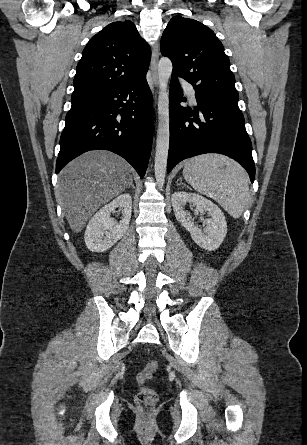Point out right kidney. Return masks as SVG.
Returning <instances> with one entry per match:
<instances>
[{
    "instance_id": "1",
    "label": "right kidney",
    "mask_w": 307,
    "mask_h": 445,
    "mask_svg": "<svg viewBox=\"0 0 307 445\" xmlns=\"http://www.w3.org/2000/svg\"><path fill=\"white\" fill-rule=\"evenodd\" d=\"M119 206L123 216L119 223L114 218H110V212ZM132 208V198L128 192L119 194L109 204H105L100 208L87 225L84 239L87 249L93 253H103L107 249H111L119 239L124 237L130 225Z\"/></svg>"
}]
</instances>
